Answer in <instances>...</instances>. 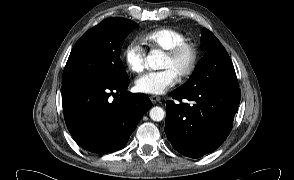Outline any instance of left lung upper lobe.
I'll return each instance as SVG.
<instances>
[{
  "instance_id": "obj_1",
  "label": "left lung upper lobe",
  "mask_w": 294,
  "mask_h": 180,
  "mask_svg": "<svg viewBox=\"0 0 294 180\" xmlns=\"http://www.w3.org/2000/svg\"><path fill=\"white\" fill-rule=\"evenodd\" d=\"M201 42L205 54L189 80L179 88L185 91L210 87L239 88L231 59L220 41L212 32L203 28Z\"/></svg>"
}]
</instances>
